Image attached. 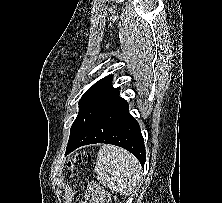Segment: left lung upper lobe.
Listing matches in <instances>:
<instances>
[{
  "mask_svg": "<svg viewBox=\"0 0 222 203\" xmlns=\"http://www.w3.org/2000/svg\"><path fill=\"white\" fill-rule=\"evenodd\" d=\"M112 80L113 76L108 75L97 81L83 94L79 101V113L71 126L69 142L83 131L105 101L120 89L111 86Z\"/></svg>",
  "mask_w": 222,
  "mask_h": 203,
  "instance_id": "obj_1",
  "label": "left lung upper lobe"
}]
</instances>
